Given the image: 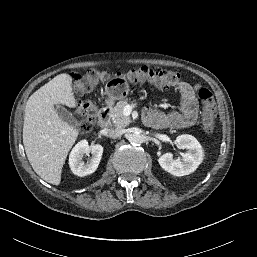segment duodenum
I'll list each match as a JSON object with an SVG mask.
<instances>
[{
    "instance_id": "obj_1",
    "label": "duodenum",
    "mask_w": 257,
    "mask_h": 257,
    "mask_svg": "<svg viewBox=\"0 0 257 257\" xmlns=\"http://www.w3.org/2000/svg\"><path fill=\"white\" fill-rule=\"evenodd\" d=\"M111 106L109 104L105 105L100 109L98 122L101 127H106L110 121Z\"/></svg>"
}]
</instances>
